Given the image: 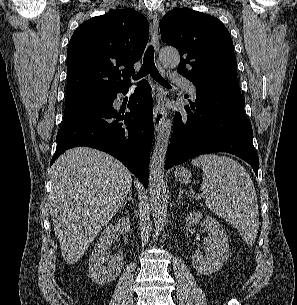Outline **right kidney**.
Returning a JSON list of instances; mask_svg holds the SVG:
<instances>
[{"instance_id": "right-kidney-1", "label": "right kidney", "mask_w": 297, "mask_h": 305, "mask_svg": "<svg viewBox=\"0 0 297 305\" xmlns=\"http://www.w3.org/2000/svg\"><path fill=\"white\" fill-rule=\"evenodd\" d=\"M130 230L128 217H121L103 231L94 246L89 260V275L93 282L106 285L113 282L121 273L124 257L121 253L111 256L108 246L119 232L126 235ZM107 263V266H106Z\"/></svg>"}]
</instances>
